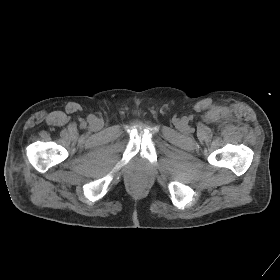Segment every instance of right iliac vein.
Returning <instances> with one entry per match:
<instances>
[{"label":"right iliac vein","instance_id":"1","mask_svg":"<svg viewBox=\"0 0 280 280\" xmlns=\"http://www.w3.org/2000/svg\"><path fill=\"white\" fill-rule=\"evenodd\" d=\"M90 126L93 130H100L103 127V121L100 119H94L92 120Z\"/></svg>","mask_w":280,"mask_h":280}]
</instances>
